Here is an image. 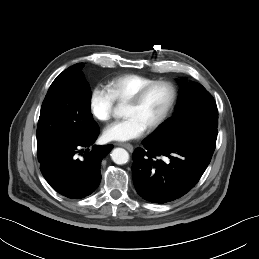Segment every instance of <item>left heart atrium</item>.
Returning <instances> with one entry per match:
<instances>
[{
	"instance_id": "1",
	"label": "left heart atrium",
	"mask_w": 259,
	"mask_h": 259,
	"mask_svg": "<svg viewBox=\"0 0 259 259\" xmlns=\"http://www.w3.org/2000/svg\"><path fill=\"white\" fill-rule=\"evenodd\" d=\"M146 127L135 117H127L106 127L104 136L110 141H128L140 137Z\"/></svg>"
}]
</instances>
